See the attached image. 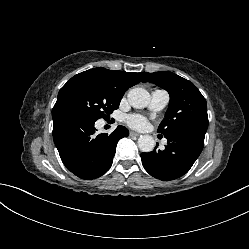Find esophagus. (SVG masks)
<instances>
[{"label": "esophagus", "instance_id": "34e87169", "mask_svg": "<svg viewBox=\"0 0 249 249\" xmlns=\"http://www.w3.org/2000/svg\"><path fill=\"white\" fill-rule=\"evenodd\" d=\"M140 134L139 133H137V132H134V131H131L130 132V136H139Z\"/></svg>", "mask_w": 249, "mask_h": 249}]
</instances>
